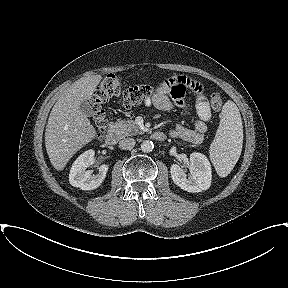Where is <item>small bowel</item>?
<instances>
[{"mask_svg":"<svg viewBox=\"0 0 288 288\" xmlns=\"http://www.w3.org/2000/svg\"><path fill=\"white\" fill-rule=\"evenodd\" d=\"M188 89H192L196 94L194 128L190 129L183 125H177L170 134L189 144L198 145L202 142L204 134L207 132V123L211 119L210 105L200 84L185 76L165 80L157 85L155 94L146 102V106H154L163 111L173 109L187 111L188 105L184 97Z\"/></svg>","mask_w":288,"mask_h":288,"instance_id":"obj_1","label":"small bowel"}]
</instances>
